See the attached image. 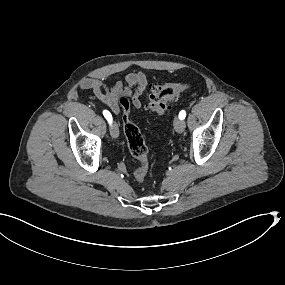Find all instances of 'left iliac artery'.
I'll use <instances>...</instances> for the list:
<instances>
[{
	"label": "left iliac artery",
	"instance_id": "obj_1",
	"mask_svg": "<svg viewBox=\"0 0 285 285\" xmlns=\"http://www.w3.org/2000/svg\"><path fill=\"white\" fill-rule=\"evenodd\" d=\"M185 117H186V112L184 110L180 111L179 118L183 120Z\"/></svg>",
	"mask_w": 285,
	"mask_h": 285
}]
</instances>
